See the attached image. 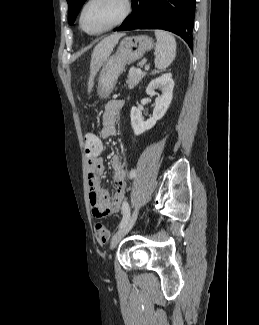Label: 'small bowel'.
Instances as JSON below:
<instances>
[{
  "mask_svg": "<svg viewBox=\"0 0 259 325\" xmlns=\"http://www.w3.org/2000/svg\"><path fill=\"white\" fill-rule=\"evenodd\" d=\"M123 105L124 102L120 99H113L107 102L102 115L100 134L99 136L96 135L97 138H102V143L104 139L115 135L116 121ZM103 148L91 152L86 151L89 202L95 217L118 212L126 199L127 193V172L120 155H113L110 160L114 172V194L110 196L109 193L101 187L99 177L104 171L103 160L101 158Z\"/></svg>",
  "mask_w": 259,
  "mask_h": 325,
  "instance_id": "small-bowel-1",
  "label": "small bowel"
}]
</instances>
